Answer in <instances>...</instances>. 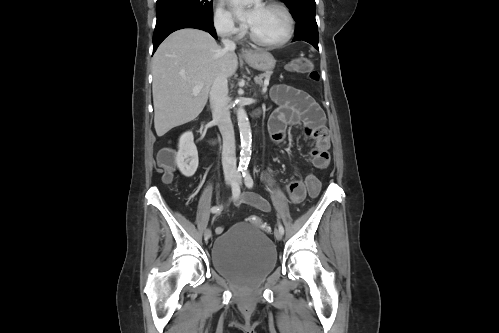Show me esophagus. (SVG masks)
<instances>
[{
    "mask_svg": "<svg viewBox=\"0 0 499 333\" xmlns=\"http://www.w3.org/2000/svg\"><path fill=\"white\" fill-rule=\"evenodd\" d=\"M241 56H248L251 52L248 49L242 48L240 51Z\"/></svg>",
    "mask_w": 499,
    "mask_h": 333,
    "instance_id": "34e87169",
    "label": "esophagus"
}]
</instances>
